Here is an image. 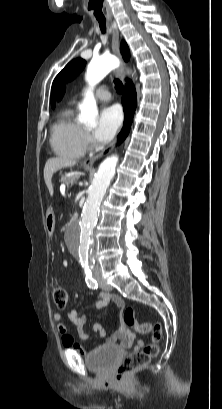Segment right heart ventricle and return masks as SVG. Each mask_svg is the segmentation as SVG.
<instances>
[{
	"mask_svg": "<svg viewBox=\"0 0 222 409\" xmlns=\"http://www.w3.org/2000/svg\"><path fill=\"white\" fill-rule=\"evenodd\" d=\"M84 134V128L76 120L73 108H65L52 126V148L64 158H80L86 150Z\"/></svg>",
	"mask_w": 222,
	"mask_h": 409,
	"instance_id": "right-heart-ventricle-1",
	"label": "right heart ventricle"
}]
</instances>
